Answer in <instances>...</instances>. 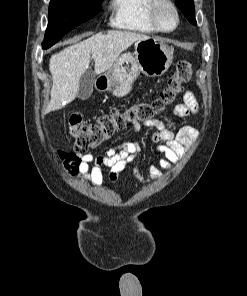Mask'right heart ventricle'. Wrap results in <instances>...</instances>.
Here are the masks:
<instances>
[{"label": "right heart ventricle", "mask_w": 247, "mask_h": 296, "mask_svg": "<svg viewBox=\"0 0 247 296\" xmlns=\"http://www.w3.org/2000/svg\"><path fill=\"white\" fill-rule=\"evenodd\" d=\"M151 3L152 0H111V24L137 33H156L149 15Z\"/></svg>", "instance_id": "right-heart-ventricle-1"}]
</instances>
